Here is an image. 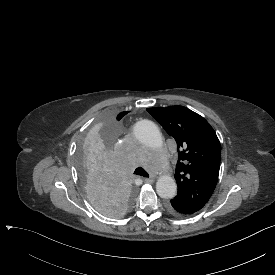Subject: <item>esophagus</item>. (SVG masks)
<instances>
[{
	"mask_svg": "<svg viewBox=\"0 0 275 275\" xmlns=\"http://www.w3.org/2000/svg\"><path fill=\"white\" fill-rule=\"evenodd\" d=\"M144 182L151 183V182H153V179H151V178H144Z\"/></svg>",
	"mask_w": 275,
	"mask_h": 275,
	"instance_id": "esophagus-1",
	"label": "esophagus"
}]
</instances>
